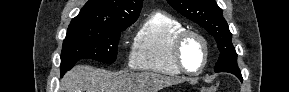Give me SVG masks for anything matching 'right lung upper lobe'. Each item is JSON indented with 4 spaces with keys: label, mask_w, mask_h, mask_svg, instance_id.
Listing matches in <instances>:
<instances>
[{
    "label": "right lung upper lobe",
    "mask_w": 289,
    "mask_h": 92,
    "mask_svg": "<svg viewBox=\"0 0 289 92\" xmlns=\"http://www.w3.org/2000/svg\"><path fill=\"white\" fill-rule=\"evenodd\" d=\"M142 3L143 0H89L71 25H131L139 16Z\"/></svg>",
    "instance_id": "cb5924a9"
}]
</instances>
